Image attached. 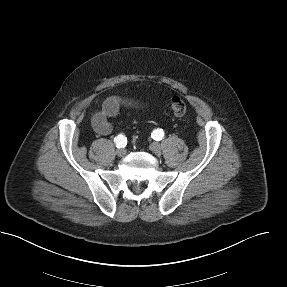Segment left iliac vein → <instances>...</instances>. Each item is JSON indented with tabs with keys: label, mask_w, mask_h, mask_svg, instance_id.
I'll return each instance as SVG.
<instances>
[{
	"label": "left iliac vein",
	"mask_w": 287,
	"mask_h": 287,
	"mask_svg": "<svg viewBox=\"0 0 287 287\" xmlns=\"http://www.w3.org/2000/svg\"><path fill=\"white\" fill-rule=\"evenodd\" d=\"M150 149L153 153H155L156 155H160L161 154V146L159 143L157 142H153L151 145H150Z\"/></svg>",
	"instance_id": "left-iliac-vein-1"
}]
</instances>
